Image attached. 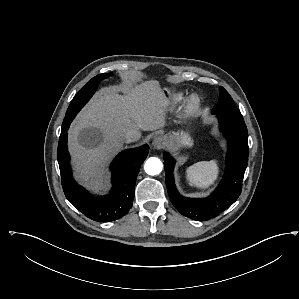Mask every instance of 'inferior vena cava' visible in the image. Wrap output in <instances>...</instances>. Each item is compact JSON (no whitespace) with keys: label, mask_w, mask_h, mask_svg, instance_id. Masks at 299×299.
I'll return each instance as SVG.
<instances>
[{"label":"inferior vena cava","mask_w":299,"mask_h":299,"mask_svg":"<svg viewBox=\"0 0 299 299\" xmlns=\"http://www.w3.org/2000/svg\"><path fill=\"white\" fill-rule=\"evenodd\" d=\"M141 137V133L138 130H129L125 136V142L131 143L139 140Z\"/></svg>","instance_id":"1"}]
</instances>
